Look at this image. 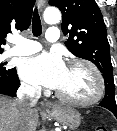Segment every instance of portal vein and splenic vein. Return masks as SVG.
<instances>
[{
  "label": "portal vein and splenic vein",
  "mask_w": 117,
  "mask_h": 131,
  "mask_svg": "<svg viewBox=\"0 0 117 131\" xmlns=\"http://www.w3.org/2000/svg\"><path fill=\"white\" fill-rule=\"evenodd\" d=\"M56 131H61V129H56Z\"/></svg>",
  "instance_id": "portal-vein-and-splenic-vein-1"
}]
</instances>
